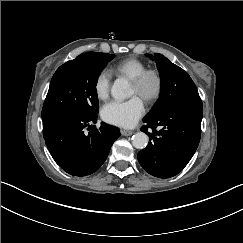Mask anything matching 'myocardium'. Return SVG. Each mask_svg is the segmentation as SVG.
Instances as JSON below:
<instances>
[{"mask_svg": "<svg viewBox=\"0 0 243 243\" xmlns=\"http://www.w3.org/2000/svg\"><path fill=\"white\" fill-rule=\"evenodd\" d=\"M154 76L157 80V88L154 93L150 95H142L143 100L152 104L157 102L163 95L165 90V78L162 71L156 67H146L137 77L132 79V84L141 89L146 84L147 80Z\"/></svg>", "mask_w": 243, "mask_h": 243, "instance_id": "f54148a6", "label": "myocardium"}]
</instances>
